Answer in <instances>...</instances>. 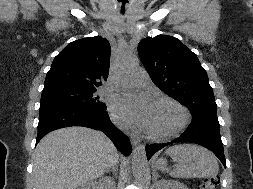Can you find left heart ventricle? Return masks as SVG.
<instances>
[{"instance_id": "b2bd125f", "label": "left heart ventricle", "mask_w": 253, "mask_h": 189, "mask_svg": "<svg viewBox=\"0 0 253 189\" xmlns=\"http://www.w3.org/2000/svg\"><path fill=\"white\" fill-rule=\"evenodd\" d=\"M180 120L177 109L167 103L152 104L146 129L164 133L173 129Z\"/></svg>"}]
</instances>
